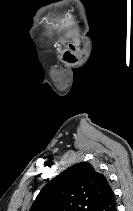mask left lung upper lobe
I'll list each match as a JSON object with an SVG mask.
<instances>
[{
    "label": "left lung upper lobe",
    "instance_id": "1",
    "mask_svg": "<svg viewBox=\"0 0 133 211\" xmlns=\"http://www.w3.org/2000/svg\"><path fill=\"white\" fill-rule=\"evenodd\" d=\"M111 192L104 175L80 162L47 183L30 211H93Z\"/></svg>",
    "mask_w": 133,
    "mask_h": 211
}]
</instances>
